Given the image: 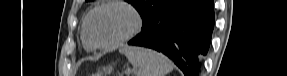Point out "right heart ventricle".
<instances>
[{
	"instance_id": "right-heart-ventricle-1",
	"label": "right heart ventricle",
	"mask_w": 287,
	"mask_h": 76,
	"mask_svg": "<svg viewBox=\"0 0 287 76\" xmlns=\"http://www.w3.org/2000/svg\"><path fill=\"white\" fill-rule=\"evenodd\" d=\"M82 42H83V46L86 50L90 51L93 49L92 46L86 40L85 35H84V31H82Z\"/></svg>"
}]
</instances>
